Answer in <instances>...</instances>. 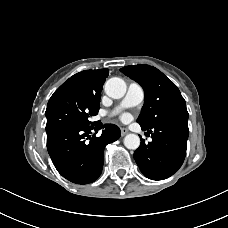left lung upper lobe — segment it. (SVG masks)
<instances>
[{"instance_id":"obj_1","label":"left lung upper lobe","mask_w":228,"mask_h":228,"mask_svg":"<svg viewBox=\"0 0 228 228\" xmlns=\"http://www.w3.org/2000/svg\"><path fill=\"white\" fill-rule=\"evenodd\" d=\"M126 76L144 89L145 99L137 122L145 129L168 121L188 119L185 100L177 86L161 71L150 65L121 68Z\"/></svg>"}]
</instances>
